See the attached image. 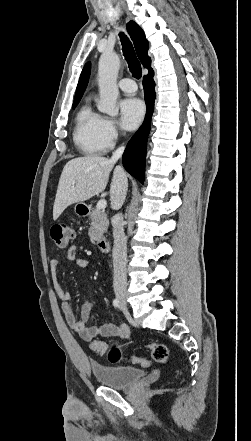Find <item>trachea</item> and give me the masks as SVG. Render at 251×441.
Here are the masks:
<instances>
[{"mask_svg": "<svg viewBox=\"0 0 251 441\" xmlns=\"http://www.w3.org/2000/svg\"><path fill=\"white\" fill-rule=\"evenodd\" d=\"M119 35L122 42L123 55L128 63L130 72L133 77L140 79L142 76L141 64L136 57L133 45L124 33H120Z\"/></svg>", "mask_w": 251, "mask_h": 441, "instance_id": "1", "label": "trachea"}]
</instances>
